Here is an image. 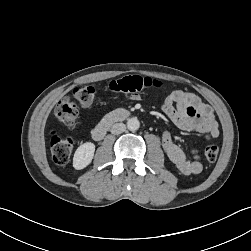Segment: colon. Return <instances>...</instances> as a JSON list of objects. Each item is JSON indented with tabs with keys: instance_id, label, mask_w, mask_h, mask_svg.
Listing matches in <instances>:
<instances>
[{
	"instance_id": "5ec220e1",
	"label": "colon",
	"mask_w": 251,
	"mask_h": 251,
	"mask_svg": "<svg viewBox=\"0 0 251 251\" xmlns=\"http://www.w3.org/2000/svg\"><path fill=\"white\" fill-rule=\"evenodd\" d=\"M162 82L149 77L129 75L109 83L108 89L115 93L137 94L151 88H160ZM96 89L93 86H79L73 89L72 98L65 97L55 107L57 119L68 127H73L78 115V105L89 107L94 102ZM50 148L53 160L58 165L69 162L74 141L69 137H62L56 132L50 135ZM219 154V147L215 143H209L205 147V157L209 162H214Z\"/></svg>"
}]
</instances>
